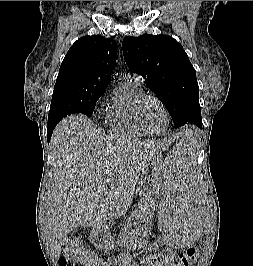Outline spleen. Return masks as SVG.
I'll use <instances>...</instances> for the list:
<instances>
[{
	"label": "spleen",
	"mask_w": 253,
	"mask_h": 266,
	"mask_svg": "<svg viewBox=\"0 0 253 266\" xmlns=\"http://www.w3.org/2000/svg\"><path fill=\"white\" fill-rule=\"evenodd\" d=\"M177 144H200V135H177ZM201 147H174L163 161L165 184L160 194L168 199L166 207L158 210V246L162 248H194L201 241L198 229H203L202 216L209 215L208 207H200L203 190L195 189L196 161Z\"/></svg>",
	"instance_id": "1"
}]
</instances>
